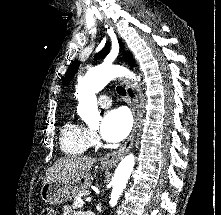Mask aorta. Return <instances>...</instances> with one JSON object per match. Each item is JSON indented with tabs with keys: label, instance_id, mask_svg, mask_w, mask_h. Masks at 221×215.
<instances>
[{
	"label": "aorta",
	"instance_id": "762f6f07",
	"mask_svg": "<svg viewBox=\"0 0 221 215\" xmlns=\"http://www.w3.org/2000/svg\"><path fill=\"white\" fill-rule=\"evenodd\" d=\"M121 76L136 78L133 72L124 67L102 64L91 69L78 81L76 89L78 95L77 113L88 125L98 122L100 118L96 93L101 91L111 80ZM134 165L135 157L133 154L127 155L119 163L112 179L113 188L110 195V204L115 205L117 203L126 187Z\"/></svg>",
	"mask_w": 221,
	"mask_h": 215
}]
</instances>
